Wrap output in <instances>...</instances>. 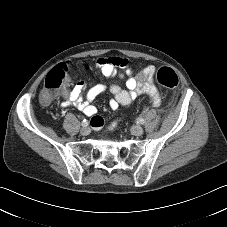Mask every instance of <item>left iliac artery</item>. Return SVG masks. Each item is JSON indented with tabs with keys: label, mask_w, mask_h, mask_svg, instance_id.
I'll return each instance as SVG.
<instances>
[{
	"label": "left iliac artery",
	"mask_w": 227,
	"mask_h": 227,
	"mask_svg": "<svg viewBox=\"0 0 227 227\" xmlns=\"http://www.w3.org/2000/svg\"><path fill=\"white\" fill-rule=\"evenodd\" d=\"M137 122H138V123H141V124H144V123H145L144 119H142V118H138V119H137Z\"/></svg>",
	"instance_id": "44dca946"
}]
</instances>
